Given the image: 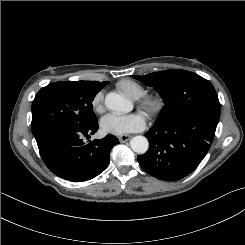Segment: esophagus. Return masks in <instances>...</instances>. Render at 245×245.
Here are the masks:
<instances>
[{"label": "esophagus", "instance_id": "obj_1", "mask_svg": "<svg viewBox=\"0 0 245 245\" xmlns=\"http://www.w3.org/2000/svg\"><path fill=\"white\" fill-rule=\"evenodd\" d=\"M130 138H131V135H121L118 137V139L121 143L128 141Z\"/></svg>", "mask_w": 245, "mask_h": 245}]
</instances>
